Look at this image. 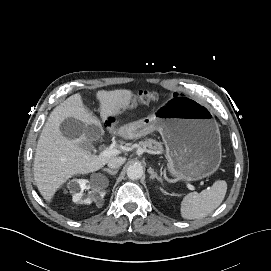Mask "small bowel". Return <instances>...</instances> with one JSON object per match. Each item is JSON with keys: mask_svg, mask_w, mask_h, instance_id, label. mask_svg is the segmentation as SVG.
<instances>
[{"mask_svg": "<svg viewBox=\"0 0 271 271\" xmlns=\"http://www.w3.org/2000/svg\"><path fill=\"white\" fill-rule=\"evenodd\" d=\"M65 130L68 132V134L73 135L75 128L73 126H68L65 128Z\"/></svg>", "mask_w": 271, "mask_h": 271, "instance_id": "c3829d8e", "label": "small bowel"}]
</instances>
